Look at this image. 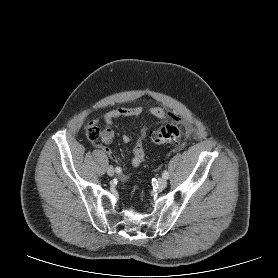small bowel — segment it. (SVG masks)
I'll return each instance as SVG.
<instances>
[{
	"instance_id": "obj_1",
	"label": "small bowel",
	"mask_w": 278,
	"mask_h": 278,
	"mask_svg": "<svg viewBox=\"0 0 278 278\" xmlns=\"http://www.w3.org/2000/svg\"><path fill=\"white\" fill-rule=\"evenodd\" d=\"M143 113V108L136 106V107H121L113 109L109 112H107L104 115V129L101 135V144L100 147L102 150L107 153L111 158H115L113 152L109 148V145L112 143L114 139V131L112 129V125L114 121L121 117H137L140 116ZM149 113L151 116L157 118V119H164L166 117V112L159 107H153L149 109ZM95 123V122H91ZM90 123V124H91ZM144 137V132H140L138 135V138L134 144V147L132 149V157H131V165L133 167H138L145 158V150L142 144V138ZM122 140L125 143H129L131 141V137L128 134H124L122 136ZM121 179L125 180L127 179L126 174L121 175Z\"/></svg>"
}]
</instances>
